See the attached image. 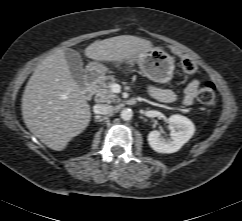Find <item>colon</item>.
<instances>
[{
  "label": "colon",
  "instance_id": "obj_1",
  "mask_svg": "<svg viewBox=\"0 0 242 221\" xmlns=\"http://www.w3.org/2000/svg\"><path fill=\"white\" fill-rule=\"evenodd\" d=\"M179 58L182 70L189 75H193L197 72V65L189 56L182 54L180 52H175ZM217 98V89L213 82L204 83L197 95L198 102L204 107H210L214 105Z\"/></svg>",
  "mask_w": 242,
  "mask_h": 221
}]
</instances>
